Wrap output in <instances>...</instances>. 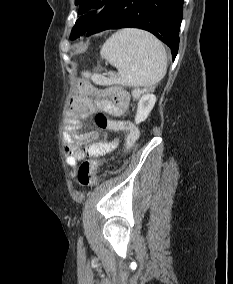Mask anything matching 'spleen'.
<instances>
[{
    "instance_id": "obj_1",
    "label": "spleen",
    "mask_w": 233,
    "mask_h": 284,
    "mask_svg": "<svg viewBox=\"0 0 233 284\" xmlns=\"http://www.w3.org/2000/svg\"><path fill=\"white\" fill-rule=\"evenodd\" d=\"M100 55L118 69L108 78L93 76V81L100 85L150 88L166 74L164 46L151 33L140 29L126 28L114 33L104 43Z\"/></svg>"
}]
</instances>
